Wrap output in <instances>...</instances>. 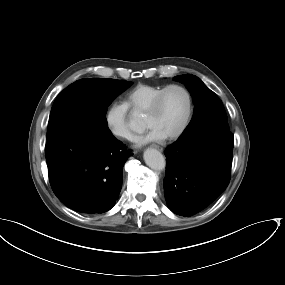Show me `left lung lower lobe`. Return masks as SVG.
Here are the masks:
<instances>
[{
	"label": "left lung lower lobe",
	"mask_w": 285,
	"mask_h": 285,
	"mask_svg": "<svg viewBox=\"0 0 285 285\" xmlns=\"http://www.w3.org/2000/svg\"><path fill=\"white\" fill-rule=\"evenodd\" d=\"M234 136L202 130L179 138L164 151V195L170 210L190 217L209 206L228 186Z\"/></svg>",
	"instance_id": "0a47b994"
}]
</instances>
